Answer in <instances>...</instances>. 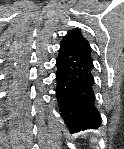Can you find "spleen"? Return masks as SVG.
I'll return each mask as SVG.
<instances>
[{
	"label": "spleen",
	"mask_w": 124,
	"mask_h": 149,
	"mask_svg": "<svg viewBox=\"0 0 124 149\" xmlns=\"http://www.w3.org/2000/svg\"><path fill=\"white\" fill-rule=\"evenodd\" d=\"M99 145H100L101 148H103V145H104L103 140H101V141L99 142Z\"/></svg>",
	"instance_id": "1"
}]
</instances>
